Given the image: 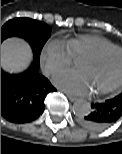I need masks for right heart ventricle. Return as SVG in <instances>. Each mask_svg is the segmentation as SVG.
Segmentation results:
<instances>
[{"label": "right heart ventricle", "mask_w": 122, "mask_h": 154, "mask_svg": "<svg viewBox=\"0 0 122 154\" xmlns=\"http://www.w3.org/2000/svg\"><path fill=\"white\" fill-rule=\"evenodd\" d=\"M66 44L74 59L83 58L90 53L115 46L109 39L96 34L79 35L68 39Z\"/></svg>", "instance_id": "e07e8e85"}]
</instances>
